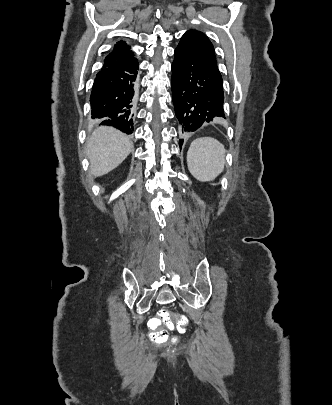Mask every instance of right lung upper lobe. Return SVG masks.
Returning a JSON list of instances; mask_svg holds the SVG:
<instances>
[{
    "label": "right lung upper lobe",
    "instance_id": "obj_1",
    "mask_svg": "<svg viewBox=\"0 0 332 405\" xmlns=\"http://www.w3.org/2000/svg\"><path fill=\"white\" fill-rule=\"evenodd\" d=\"M134 59L130 46L124 41L115 44V49L105 58L103 67L119 66Z\"/></svg>",
    "mask_w": 332,
    "mask_h": 405
}]
</instances>
